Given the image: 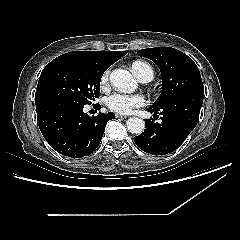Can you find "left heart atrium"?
I'll use <instances>...</instances> for the list:
<instances>
[{
    "label": "left heart atrium",
    "instance_id": "obj_1",
    "mask_svg": "<svg viewBox=\"0 0 240 240\" xmlns=\"http://www.w3.org/2000/svg\"><path fill=\"white\" fill-rule=\"evenodd\" d=\"M144 102L145 98L141 94L122 92L114 93L106 100L108 108L120 114H129L134 108L142 106Z\"/></svg>",
    "mask_w": 240,
    "mask_h": 240
}]
</instances>
